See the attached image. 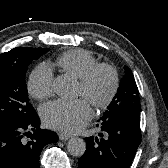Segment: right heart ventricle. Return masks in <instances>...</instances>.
<instances>
[{
    "mask_svg": "<svg viewBox=\"0 0 168 168\" xmlns=\"http://www.w3.org/2000/svg\"><path fill=\"white\" fill-rule=\"evenodd\" d=\"M98 63L97 58L88 50L73 49L61 54L56 64L66 73L81 78L91 67Z\"/></svg>",
    "mask_w": 168,
    "mask_h": 168,
    "instance_id": "1",
    "label": "right heart ventricle"
}]
</instances>
